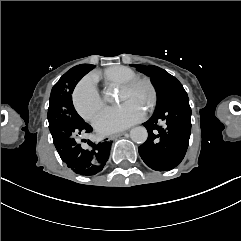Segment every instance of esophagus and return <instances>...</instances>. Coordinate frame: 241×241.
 Returning <instances> with one entry per match:
<instances>
[{
    "label": "esophagus",
    "mask_w": 241,
    "mask_h": 241,
    "mask_svg": "<svg viewBox=\"0 0 241 241\" xmlns=\"http://www.w3.org/2000/svg\"><path fill=\"white\" fill-rule=\"evenodd\" d=\"M122 135H123L122 132L116 133V134H113V135H110V136L108 137V140H114V139H116V138H118V137H120V136H122Z\"/></svg>",
    "instance_id": "34e87169"
}]
</instances>
